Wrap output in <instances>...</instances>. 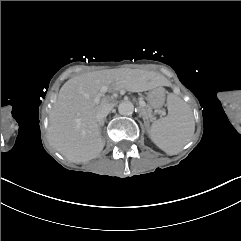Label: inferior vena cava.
I'll use <instances>...</instances> for the list:
<instances>
[{"label": "inferior vena cava", "instance_id": "1", "mask_svg": "<svg viewBox=\"0 0 241 241\" xmlns=\"http://www.w3.org/2000/svg\"><path fill=\"white\" fill-rule=\"evenodd\" d=\"M111 111V109H105L102 111H99L96 115V121L98 122L99 125H103L104 124V119L106 118V116L109 114V112Z\"/></svg>", "mask_w": 241, "mask_h": 241}]
</instances>
